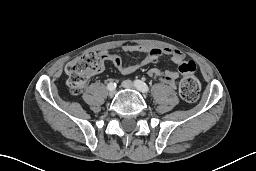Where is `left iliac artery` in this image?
<instances>
[{
	"label": "left iliac artery",
	"mask_w": 256,
	"mask_h": 171,
	"mask_svg": "<svg viewBox=\"0 0 256 171\" xmlns=\"http://www.w3.org/2000/svg\"><path fill=\"white\" fill-rule=\"evenodd\" d=\"M134 85L142 92L147 93L149 91V87L147 86V84L141 80H135Z\"/></svg>",
	"instance_id": "obj_1"
}]
</instances>
